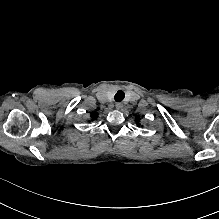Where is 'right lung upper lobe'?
I'll list each match as a JSON object with an SVG mask.
<instances>
[{"label": "right lung upper lobe", "mask_w": 219, "mask_h": 219, "mask_svg": "<svg viewBox=\"0 0 219 219\" xmlns=\"http://www.w3.org/2000/svg\"><path fill=\"white\" fill-rule=\"evenodd\" d=\"M97 119V114L96 113H92L91 114V120H96Z\"/></svg>", "instance_id": "1"}]
</instances>
